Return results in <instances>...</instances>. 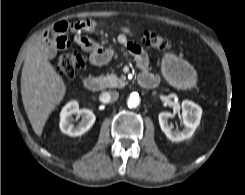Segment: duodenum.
<instances>
[{"label":"duodenum","mask_w":245,"mask_h":195,"mask_svg":"<svg viewBox=\"0 0 245 195\" xmlns=\"http://www.w3.org/2000/svg\"><path fill=\"white\" fill-rule=\"evenodd\" d=\"M138 83L143 88L152 89L158 85V78L149 73L142 72L138 77ZM84 86L89 91H98L102 87V82L98 77L88 76L84 80Z\"/></svg>","instance_id":"410a0bca"}]
</instances>
